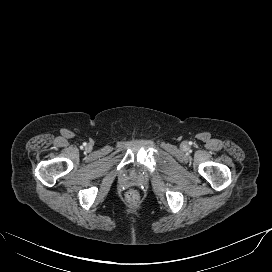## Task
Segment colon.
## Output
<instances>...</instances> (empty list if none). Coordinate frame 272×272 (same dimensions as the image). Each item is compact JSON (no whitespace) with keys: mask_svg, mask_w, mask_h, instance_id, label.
<instances>
[{"mask_svg":"<svg viewBox=\"0 0 272 272\" xmlns=\"http://www.w3.org/2000/svg\"><path fill=\"white\" fill-rule=\"evenodd\" d=\"M127 200L130 202H136L139 199V193L136 190H130L127 192Z\"/></svg>","mask_w":272,"mask_h":272,"instance_id":"obj_1","label":"colon"}]
</instances>
